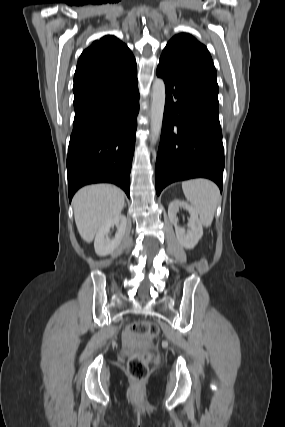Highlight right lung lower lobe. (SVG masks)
<instances>
[{
  "label": "right lung lower lobe",
  "instance_id": "98d812e1",
  "mask_svg": "<svg viewBox=\"0 0 285 427\" xmlns=\"http://www.w3.org/2000/svg\"><path fill=\"white\" fill-rule=\"evenodd\" d=\"M67 156L68 194L91 183L120 186L130 196L139 92L137 73L74 102Z\"/></svg>",
  "mask_w": 285,
  "mask_h": 427
}]
</instances>
